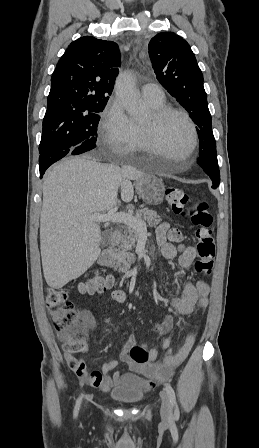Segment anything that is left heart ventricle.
<instances>
[{"label": "left heart ventricle", "instance_id": "left-heart-ventricle-1", "mask_svg": "<svg viewBox=\"0 0 259 448\" xmlns=\"http://www.w3.org/2000/svg\"><path fill=\"white\" fill-rule=\"evenodd\" d=\"M150 114L141 122L146 123ZM159 141L164 149L157 150L153 155L168 162L188 161V148L191 143V133L185 121L179 116H170L160 125Z\"/></svg>", "mask_w": 259, "mask_h": 448}]
</instances>
